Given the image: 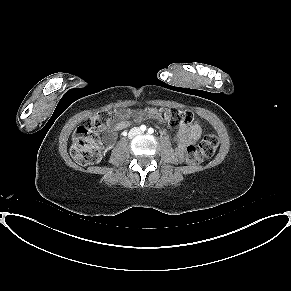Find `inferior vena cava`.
Returning <instances> with one entry per match:
<instances>
[{"label":"inferior vena cava","mask_w":291,"mask_h":291,"mask_svg":"<svg viewBox=\"0 0 291 291\" xmlns=\"http://www.w3.org/2000/svg\"><path fill=\"white\" fill-rule=\"evenodd\" d=\"M140 133H141L140 129L138 127H134L129 132V138H132L133 136L138 135Z\"/></svg>","instance_id":"obj_1"}]
</instances>
